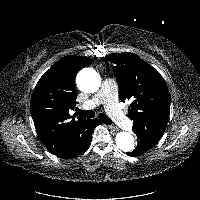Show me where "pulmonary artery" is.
I'll use <instances>...</instances> for the list:
<instances>
[{
  "mask_svg": "<svg viewBox=\"0 0 200 200\" xmlns=\"http://www.w3.org/2000/svg\"><path fill=\"white\" fill-rule=\"evenodd\" d=\"M104 105L106 112L120 127L127 128L131 121L118 108V86L115 80L106 78L102 81L99 92L85 104V108Z\"/></svg>",
  "mask_w": 200,
  "mask_h": 200,
  "instance_id": "pulmonary-artery-1",
  "label": "pulmonary artery"
}]
</instances>
